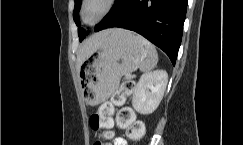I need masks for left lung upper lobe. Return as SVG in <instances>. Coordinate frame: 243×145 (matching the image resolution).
Returning a JSON list of instances; mask_svg holds the SVG:
<instances>
[{
	"instance_id": "1",
	"label": "left lung upper lobe",
	"mask_w": 243,
	"mask_h": 145,
	"mask_svg": "<svg viewBox=\"0 0 243 145\" xmlns=\"http://www.w3.org/2000/svg\"><path fill=\"white\" fill-rule=\"evenodd\" d=\"M74 1H75V7H74V12H73V18H74L76 25L79 27L78 28V35H79L80 41H82L85 38V36L87 35V32L83 28H80L81 24H80V20H79V17H78V13H79V10H80V7H81V0H74ZM122 1L123 0H115V4L112 7L111 11H115L116 8L120 5V3Z\"/></svg>"
}]
</instances>
